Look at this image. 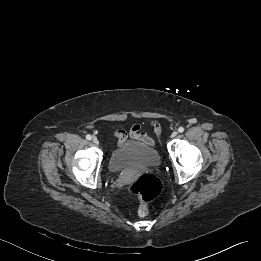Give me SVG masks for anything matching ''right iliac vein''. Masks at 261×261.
Wrapping results in <instances>:
<instances>
[{
  "instance_id": "1",
  "label": "right iliac vein",
  "mask_w": 261,
  "mask_h": 261,
  "mask_svg": "<svg viewBox=\"0 0 261 261\" xmlns=\"http://www.w3.org/2000/svg\"><path fill=\"white\" fill-rule=\"evenodd\" d=\"M92 141H93V143L96 144V145L99 144V140H98L96 137H94V138L92 139Z\"/></svg>"
}]
</instances>
